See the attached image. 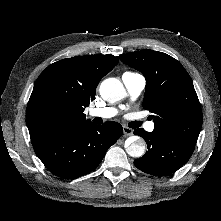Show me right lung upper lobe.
Listing matches in <instances>:
<instances>
[{
    "label": "right lung upper lobe",
    "mask_w": 221,
    "mask_h": 221,
    "mask_svg": "<svg viewBox=\"0 0 221 221\" xmlns=\"http://www.w3.org/2000/svg\"><path fill=\"white\" fill-rule=\"evenodd\" d=\"M119 62L114 55L67 58L49 65L37 78L26 110L31 142L69 126L82 125L84 109L100 80Z\"/></svg>",
    "instance_id": "obj_1"
}]
</instances>
